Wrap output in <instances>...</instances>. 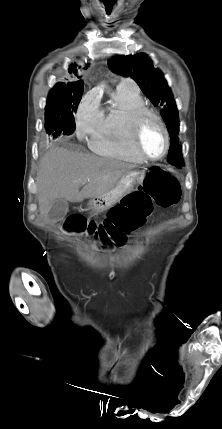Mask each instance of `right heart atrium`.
I'll list each match as a JSON object with an SVG mask.
<instances>
[{
  "label": "right heart atrium",
  "instance_id": "d8ad5b80",
  "mask_svg": "<svg viewBox=\"0 0 222 429\" xmlns=\"http://www.w3.org/2000/svg\"><path fill=\"white\" fill-rule=\"evenodd\" d=\"M104 114L99 100L94 94H88L79 103L76 112V134L79 139L91 137L102 123Z\"/></svg>",
  "mask_w": 222,
  "mask_h": 429
}]
</instances>
